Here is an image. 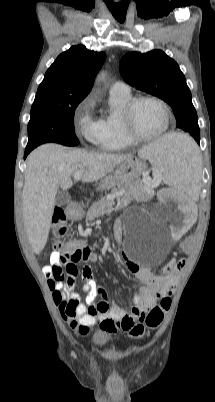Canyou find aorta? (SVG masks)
I'll list each match as a JSON object with an SVG mask.
<instances>
[{
  "instance_id": "1",
  "label": "aorta",
  "mask_w": 215,
  "mask_h": 402,
  "mask_svg": "<svg viewBox=\"0 0 215 402\" xmlns=\"http://www.w3.org/2000/svg\"><path fill=\"white\" fill-rule=\"evenodd\" d=\"M104 76V73H100L98 78L101 79Z\"/></svg>"
}]
</instances>
